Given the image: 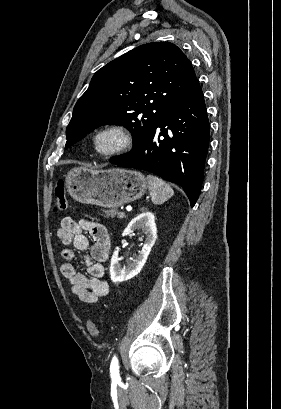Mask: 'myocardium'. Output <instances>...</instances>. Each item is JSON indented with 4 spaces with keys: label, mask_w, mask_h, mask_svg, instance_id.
Segmentation results:
<instances>
[{
    "label": "myocardium",
    "mask_w": 281,
    "mask_h": 409,
    "mask_svg": "<svg viewBox=\"0 0 281 409\" xmlns=\"http://www.w3.org/2000/svg\"><path fill=\"white\" fill-rule=\"evenodd\" d=\"M108 141L106 147L102 143ZM133 143L132 133L123 125L110 124L98 129L93 135L94 151L102 156H115L123 153Z\"/></svg>",
    "instance_id": "myocardium-1"
}]
</instances>
